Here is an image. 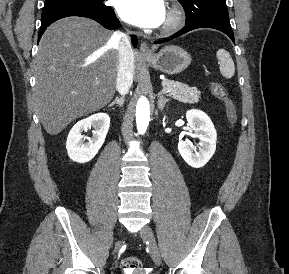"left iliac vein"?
Segmentation results:
<instances>
[{
  "mask_svg": "<svg viewBox=\"0 0 289 274\" xmlns=\"http://www.w3.org/2000/svg\"><path fill=\"white\" fill-rule=\"evenodd\" d=\"M140 236L142 239L148 242L150 255L154 263L156 265H160L161 264L160 251L152 229L148 225H145L140 231Z\"/></svg>",
  "mask_w": 289,
  "mask_h": 274,
  "instance_id": "4c4485c4",
  "label": "left iliac vein"
}]
</instances>
